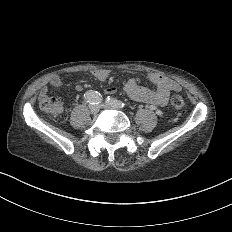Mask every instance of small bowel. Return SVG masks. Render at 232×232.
<instances>
[{"instance_id": "small-bowel-1", "label": "small bowel", "mask_w": 232, "mask_h": 232, "mask_svg": "<svg viewBox=\"0 0 232 232\" xmlns=\"http://www.w3.org/2000/svg\"><path fill=\"white\" fill-rule=\"evenodd\" d=\"M94 76L99 81H105L109 75L107 69H95L93 71ZM150 80L157 86V90L149 88H142L138 86V81L135 78H131L126 82L125 91L129 97L134 101L140 102H153L160 106H165L169 100V94L172 91H176L179 88L178 83L172 78L166 77L160 73H150ZM80 85H87L90 83L88 78H80L78 80ZM63 86V78L55 76L49 81V86H42L41 93H48L51 88L53 91L59 90Z\"/></svg>"}]
</instances>
